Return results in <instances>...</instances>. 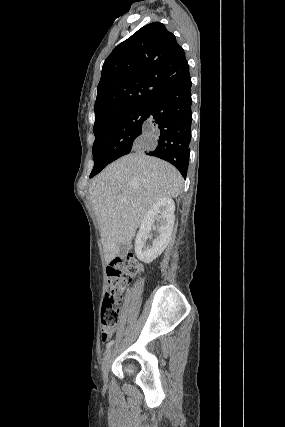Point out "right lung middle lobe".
I'll use <instances>...</instances> for the list:
<instances>
[{"instance_id": "1", "label": "right lung middle lobe", "mask_w": 285, "mask_h": 427, "mask_svg": "<svg viewBox=\"0 0 285 427\" xmlns=\"http://www.w3.org/2000/svg\"><path fill=\"white\" fill-rule=\"evenodd\" d=\"M147 108L148 104H143L127 109L94 127V168L90 178L140 144L139 136L144 130Z\"/></svg>"}]
</instances>
